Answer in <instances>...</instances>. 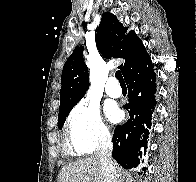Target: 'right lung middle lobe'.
Returning a JSON list of instances; mask_svg holds the SVG:
<instances>
[{
    "label": "right lung middle lobe",
    "instance_id": "obj_1",
    "mask_svg": "<svg viewBox=\"0 0 196 182\" xmlns=\"http://www.w3.org/2000/svg\"><path fill=\"white\" fill-rule=\"evenodd\" d=\"M68 114L69 113H67V114H65L63 116L58 117V127H59V129H62V126H63V124H64V122H65L66 117L68 116Z\"/></svg>",
    "mask_w": 196,
    "mask_h": 182
}]
</instances>
